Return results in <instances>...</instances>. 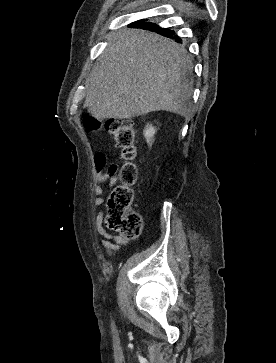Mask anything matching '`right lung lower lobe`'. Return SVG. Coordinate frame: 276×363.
Returning <instances> with one entry per match:
<instances>
[{
    "mask_svg": "<svg viewBox=\"0 0 276 363\" xmlns=\"http://www.w3.org/2000/svg\"><path fill=\"white\" fill-rule=\"evenodd\" d=\"M130 26L137 27V28H143V29H149L151 31H156L157 33H159L163 36L174 38L175 41L180 42V39L176 35H174V31H172L168 28L167 29L160 28V27L156 26L155 24L145 22L144 20L134 22Z\"/></svg>",
    "mask_w": 276,
    "mask_h": 363,
    "instance_id": "1",
    "label": "right lung lower lobe"
}]
</instances>
